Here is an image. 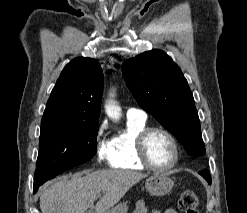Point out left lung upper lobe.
<instances>
[{
  "label": "left lung upper lobe",
  "mask_w": 247,
  "mask_h": 213,
  "mask_svg": "<svg viewBox=\"0 0 247 213\" xmlns=\"http://www.w3.org/2000/svg\"><path fill=\"white\" fill-rule=\"evenodd\" d=\"M123 76L137 103L152 114L192 156L205 147L198 113L187 80L162 50L144 52L122 64Z\"/></svg>",
  "instance_id": "left-lung-upper-lobe-1"
}]
</instances>
